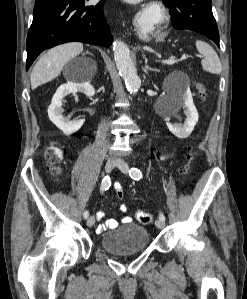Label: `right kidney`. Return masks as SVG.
<instances>
[{
  "instance_id": "ca27d5eb",
  "label": "right kidney",
  "mask_w": 247,
  "mask_h": 299,
  "mask_svg": "<svg viewBox=\"0 0 247 299\" xmlns=\"http://www.w3.org/2000/svg\"><path fill=\"white\" fill-rule=\"evenodd\" d=\"M77 92H82L92 97L95 94V89L90 84V81L63 84L57 89L48 108V116L51 122L67 136L77 132L85 122V119L70 121V117L63 116L62 101L64 97Z\"/></svg>"
}]
</instances>
